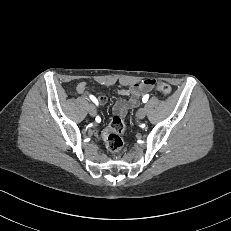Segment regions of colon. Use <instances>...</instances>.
Masks as SVG:
<instances>
[{"label":"colon","instance_id":"1","mask_svg":"<svg viewBox=\"0 0 231 231\" xmlns=\"http://www.w3.org/2000/svg\"><path fill=\"white\" fill-rule=\"evenodd\" d=\"M153 85L164 95H169L172 88L169 84L153 80ZM125 132V124L120 116H114L108 126L103 130L102 137L107 149L114 154L121 152L124 146L122 135Z\"/></svg>","mask_w":231,"mask_h":231}]
</instances>
